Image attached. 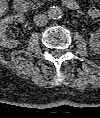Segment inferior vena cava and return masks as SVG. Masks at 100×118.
I'll return each mask as SVG.
<instances>
[{
	"label": "inferior vena cava",
	"instance_id": "1",
	"mask_svg": "<svg viewBox=\"0 0 100 118\" xmlns=\"http://www.w3.org/2000/svg\"><path fill=\"white\" fill-rule=\"evenodd\" d=\"M48 22V17L45 14H37L34 16V23L36 26H45Z\"/></svg>",
	"mask_w": 100,
	"mask_h": 118
}]
</instances>
